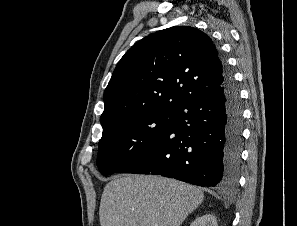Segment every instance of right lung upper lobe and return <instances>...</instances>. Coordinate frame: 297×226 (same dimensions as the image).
I'll use <instances>...</instances> for the list:
<instances>
[{"label":"right lung upper lobe","instance_id":"cb5924a9","mask_svg":"<svg viewBox=\"0 0 297 226\" xmlns=\"http://www.w3.org/2000/svg\"><path fill=\"white\" fill-rule=\"evenodd\" d=\"M223 61L197 28L174 26L135 43L118 62L104 92L103 129L151 111H176L194 95L219 87Z\"/></svg>","mask_w":297,"mask_h":226}]
</instances>
